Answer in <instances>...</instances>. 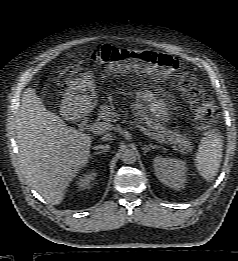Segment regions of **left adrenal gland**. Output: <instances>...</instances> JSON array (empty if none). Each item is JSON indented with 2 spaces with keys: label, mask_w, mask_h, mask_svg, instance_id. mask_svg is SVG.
I'll return each mask as SVG.
<instances>
[{
  "label": "left adrenal gland",
  "mask_w": 238,
  "mask_h": 261,
  "mask_svg": "<svg viewBox=\"0 0 238 261\" xmlns=\"http://www.w3.org/2000/svg\"><path fill=\"white\" fill-rule=\"evenodd\" d=\"M158 148H160V146L149 144V145H144V147L142 149H143L144 153L146 154L151 149H158Z\"/></svg>",
  "instance_id": "obj_1"
}]
</instances>
